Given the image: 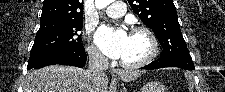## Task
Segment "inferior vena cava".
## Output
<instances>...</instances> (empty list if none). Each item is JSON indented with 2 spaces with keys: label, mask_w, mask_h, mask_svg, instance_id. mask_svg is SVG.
<instances>
[{
  "label": "inferior vena cava",
  "mask_w": 225,
  "mask_h": 92,
  "mask_svg": "<svg viewBox=\"0 0 225 92\" xmlns=\"http://www.w3.org/2000/svg\"><path fill=\"white\" fill-rule=\"evenodd\" d=\"M88 72L92 75L104 73L108 69V59L96 49L88 51Z\"/></svg>",
  "instance_id": "inferior-vena-cava-1"
}]
</instances>
